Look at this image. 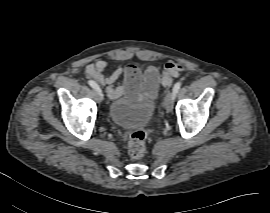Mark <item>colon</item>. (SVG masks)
Segmentation results:
<instances>
[{"mask_svg": "<svg viewBox=\"0 0 270 213\" xmlns=\"http://www.w3.org/2000/svg\"><path fill=\"white\" fill-rule=\"evenodd\" d=\"M184 67L177 63H167L161 74V83L165 87H170L173 77L177 76ZM147 129H140L130 133L128 138V153L132 159H140L146 152Z\"/></svg>", "mask_w": 270, "mask_h": 213, "instance_id": "1", "label": "colon"}]
</instances>
